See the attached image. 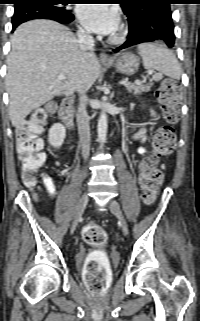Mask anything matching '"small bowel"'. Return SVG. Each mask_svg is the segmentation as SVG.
Instances as JSON below:
<instances>
[{
    "instance_id": "c3829d8e",
    "label": "small bowel",
    "mask_w": 200,
    "mask_h": 321,
    "mask_svg": "<svg viewBox=\"0 0 200 321\" xmlns=\"http://www.w3.org/2000/svg\"><path fill=\"white\" fill-rule=\"evenodd\" d=\"M151 115L155 116V112L153 110L151 111ZM146 131L147 130L145 128L140 129L134 135V138L137 139V140H140V141H144L145 140ZM138 151H139L140 154H143V155H148L149 154L148 150L146 148H144V147H140ZM42 181H43V183L45 185V188H46L49 196L50 197H54L55 188H54L52 179L49 176H45L44 175V176H42Z\"/></svg>"
}]
</instances>
